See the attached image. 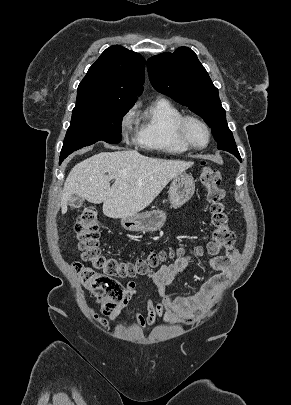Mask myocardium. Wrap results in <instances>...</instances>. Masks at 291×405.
I'll list each match as a JSON object with an SVG mask.
<instances>
[{"instance_id":"f54148a6","label":"myocardium","mask_w":291,"mask_h":405,"mask_svg":"<svg viewBox=\"0 0 291 405\" xmlns=\"http://www.w3.org/2000/svg\"><path fill=\"white\" fill-rule=\"evenodd\" d=\"M192 122L199 124L206 132L207 141L202 146L195 145L188 137L187 128ZM175 135L184 146L193 150L205 149L211 141V130L208 124L196 115H182L175 125Z\"/></svg>"}]
</instances>
